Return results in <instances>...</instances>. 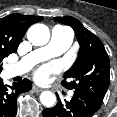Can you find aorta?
Masks as SVG:
<instances>
[{
	"label": "aorta",
	"instance_id": "762f6f07",
	"mask_svg": "<svg viewBox=\"0 0 117 117\" xmlns=\"http://www.w3.org/2000/svg\"><path fill=\"white\" fill-rule=\"evenodd\" d=\"M27 38L35 46H43L50 39L49 28L44 24H34L27 31ZM40 101L45 107H52L56 103V96L51 91H43Z\"/></svg>",
	"mask_w": 117,
	"mask_h": 117
}]
</instances>
